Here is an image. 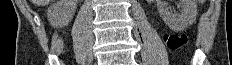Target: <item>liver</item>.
<instances>
[{"mask_svg": "<svg viewBox=\"0 0 232 65\" xmlns=\"http://www.w3.org/2000/svg\"><path fill=\"white\" fill-rule=\"evenodd\" d=\"M52 1L53 0H32V3L35 4V5L40 6V5H47Z\"/></svg>", "mask_w": 232, "mask_h": 65, "instance_id": "6515ba94", "label": "liver"}]
</instances>
